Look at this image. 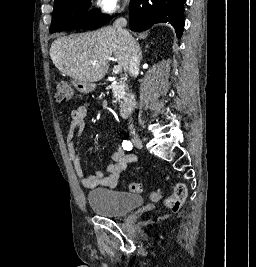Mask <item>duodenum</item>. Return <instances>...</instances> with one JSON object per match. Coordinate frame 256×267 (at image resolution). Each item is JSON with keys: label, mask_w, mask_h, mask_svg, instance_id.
Returning <instances> with one entry per match:
<instances>
[{"label": "duodenum", "mask_w": 256, "mask_h": 267, "mask_svg": "<svg viewBox=\"0 0 256 267\" xmlns=\"http://www.w3.org/2000/svg\"><path fill=\"white\" fill-rule=\"evenodd\" d=\"M98 82V78H74L73 87L75 90H81V94H93L91 86H94V83ZM134 102V95L129 94L119 103V114L121 117L125 118L130 116Z\"/></svg>", "instance_id": "1"}]
</instances>
